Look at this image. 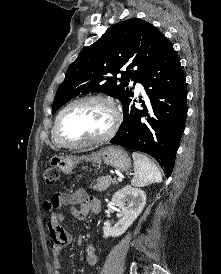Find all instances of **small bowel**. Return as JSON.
<instances>
[{
    "label": "small bowel",
    "instance_id": "obj_1",
    "mask_svg": "<svg viewBox=\"0 0 221 274\" xmlns=\"http://www.w3.org/2000/svg\"><path fill=\"white\" fill-rule=\"evenodd\" d=\"M76 204H79V207L73 208L72 214L79 220L84 219L90 211L98 213L101 208L99 200L95 196L86 194L83 190H77L73 193H56L44 203L45 209L49 212L47 227L54 274H61V252L63 248L71 244L73 238L72 233L62 227L61 222L64 220V214L58 212V209L63 205ZM85 257L89 264L95 265L97 263L98 258L92 245L86 247Z\"/></svg>",
    "mask_w": 221,
    "mask_h": 274
}]
</instances>
